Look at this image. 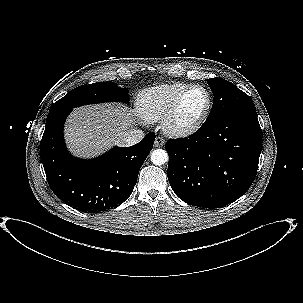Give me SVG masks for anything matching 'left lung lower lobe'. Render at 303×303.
Here are the masks:
<instances>
[{"instance_id": "0a47b994", "label": "left lung lower lobe", "mask_w": 303, "mask_h": 303, "mask_svg": "<svg viewBox=\"0 0 303 303\" xmlns=\"http://www.w3.org/2000/svg\"><path fill=\"white\" fill-rule=\"evenodd\" d=\"M261 148L256 111L206 121L190 137L167 141L169 183L190 205L225 206L250 188Z\"/></svg>"}]
</instances>
